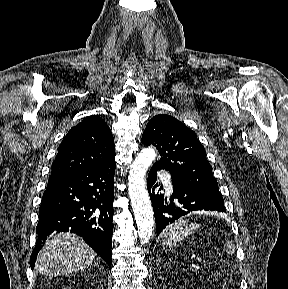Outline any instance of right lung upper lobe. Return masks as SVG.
<instances>
[{"label":"right lung upper lobe","mask_w":288,"mask_h":289,"mask_svg":"<svg viewBox=\"0 0 288 289\" xmlns=\"http://www.w3.org/2000/svg\"><path fill=\"white\" fill-rule=\"evenodd\" d=\"M113 159L115 148L111 130L103 119L93 115L71 128L64 137L50 178L92 170Z\"/></svg>","instance_id":"obj_1"}]
</instances>
